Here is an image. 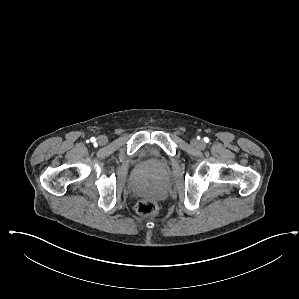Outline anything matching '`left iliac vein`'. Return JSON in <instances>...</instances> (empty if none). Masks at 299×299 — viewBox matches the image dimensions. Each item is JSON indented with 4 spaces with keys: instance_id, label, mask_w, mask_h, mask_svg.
<instances>
[{
    "instance_id": "1",
    "label": "left iliac vein",
    "mask_w": 299,
    "mask_h": 299,
    "mask_svg": "<svg viewBox=\"0 0 299 299\" xmlns=\"http://www.w3.org/2000/svg\"><path fill=\"white\" fill-rule=\"evenodd\" d=\"M192 145L198 149H204L205 148V143L203 141L200 140H192Z\"/></svg>"
}]
</instances>
